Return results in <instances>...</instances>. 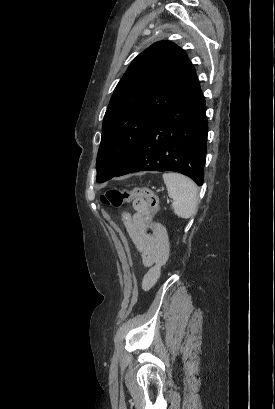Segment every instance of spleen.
Instances as JSON below:
<instances>
[{
    "mask_svg": "<svg viewBox=\"0 0 275 409\" xmlns=\"http://www.w3.org/2000/svg\"><path fill=\"white\" fill-rule=\"evenodd\" d=\"M163 180L170 198L172 209L182 219H190L197 209V186L191 178L178 172H164Z\"/></svg>",
    "mask_w": 275,
    "mask_h": 409,
    "instance_id": "obj_1",
    "label": "spleen"
}]
</instances>
